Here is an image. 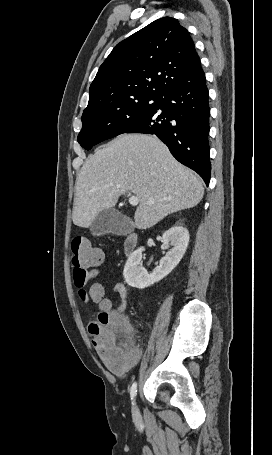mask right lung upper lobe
Instances as JSON below:
<instances>
[{"mask_svg":"<svg viewBox=\"0 0 272 455\" xmlns=\"http://www.w3.org/2000/svg\"><path fill=\"white\" fill-rule=\"evenodd\" d=\"M203 73L189 32L172 17L160 18L114 47L84 112L135 95L162 96Z\"/></svg>","mask_w":272,"mask_h":455,"instance_id":"1","label":"right lung upper lobe"}]
</instances>
